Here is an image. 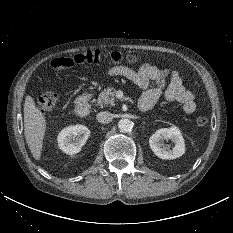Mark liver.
Masks as SVG:
<instances>
[{
    "label": "liver",
    "mask_w": 233,
    "mask_h": 233,
    "mask_svg": "<svg viewBox=\"0 0 233 233\" xmlns=\"http://www.w3.org/2000/svg\"><path fill=\"white\" fill-rule=\"evenodd\" d=\"M45 131V117L36 107L34 99L27 95L24 103V135L28 147L36 160H39L41 157Z\"/></svg>",
    "instance_id": "6515ba94"
}]
</instances>
